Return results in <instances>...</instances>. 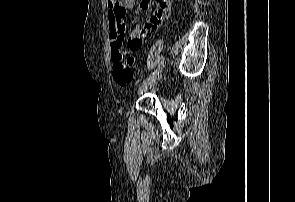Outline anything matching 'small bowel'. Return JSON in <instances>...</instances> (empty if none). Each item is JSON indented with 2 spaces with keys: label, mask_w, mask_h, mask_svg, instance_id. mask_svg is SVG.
I'll list each match as a JSON object with an SVG mask.
<instances>
[{
  "label": "small bowel",
  "mask_w": 295,
  "mask_h": 202,
  "mask_svg": "<svg viewBox=\"0 0 295 202\" xmlns=\"http://www.w3.org/2000/svg\"><path fill=\"white\" fill-rule=\"evenodd\" d=\"M135 0H107L108 5V24L109 38L111 46V59L118 51H124V32L125 26L123 19L129 8L133 7ZM159 10L143 25H138L130 34L128 40V50L136 51L140 49L147 38V35L156 30L162 21L168 17L171 11L170 0H156ZM151 0H140L139 7L141 10H148Z\"/></svg>",
  "instance_id": "small-bowel-1"
}]
</instances>
